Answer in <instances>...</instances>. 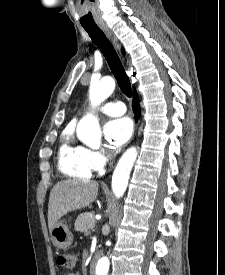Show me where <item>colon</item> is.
<instances>
[{
	"mask_svg": "<svg viewBox=\"0 0 225 275\" xmlns=\"http://www.w3.org/2000/svg\"><path fill=\"white\" fill-rule=\"evenodd\" d=\"M76 256L72 252H61L57 256V264L66 269L74 268Z\"/></svg>",
	"mask_w": 225,
	"mask_h": 275,
	"instance_id": "obj_1",
	"label": "colon"
}]
</instances>
